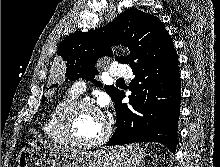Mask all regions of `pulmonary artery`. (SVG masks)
Returning a JSON list of instances; mask_svg holds the SVG:
<instances>
[{
	"mask_svg": "<svg viewBox=\"0 0 220 167\" xmlns=\"http://www.w3.org/2000/svg\"><path fill=\"white\" fill-rule=\"evenodd\" d=\"M109 74L113 78L129 77L131 75V69L128 65L117 64L110 68ZM85 91V84L83 82H77L72 88V92L76 95H80Z\"/></svg>",
	"mask_w": 220,
	"mask_h": 167,
	"instance_id": "obj_1",
	"label": "pulmonary artery"
}]
</instances>
